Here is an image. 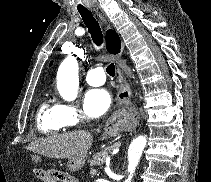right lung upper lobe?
<instances>
[{
	"label": "right lung upper lobe",
	"mask_w": 211,
	"mask_h": 182,
	"mask_svg": "<svg viewBox=\"0 0 211 182\" xmlns=\"http://www.w3.org/2000/svg\"><path fill=\"white\" fill-rule=\"evenodd\" d=\"M106 43H107L106 49L109 53L117 54L120 52V47H121L120 38L115 31L108 30L106 32ZM51 65L52 62L50 63L49 66Z\"/></svg>",
	"instance_id": "obj_1"
}]
</instances>
